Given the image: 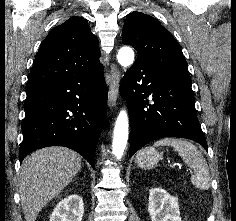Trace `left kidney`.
<instances>
[{"instance_id":"5707ae66","label":"left kidney","mask_w":236,"mask_h":221,"mask_svg":"<svg viewBox=\"0 0 236 221\" xmlns=\"http://www.w3.org/2000/svg\"><path fill=\"white\" fill-rule=\"evenodd\" d=\"M148 212L151 221H181L178 199L160 187L150 190Z\"/></svg>"}]
</instances>
